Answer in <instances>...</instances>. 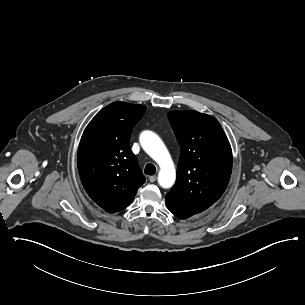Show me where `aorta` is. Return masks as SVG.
I'll return each instance as SVG.
<instances>
[{
    "instance_id": "aorta-1",
    "label": "aorta",
    "mask_w": 305,
    "mask_h": 305,
    "mask_svg": "<svg viewBox=\"0 0 305 305\" xmlns=\"http://www.w3.org/2000/svg\"><path fill=\"white\" fill-rule=\"evenodd\" d=\"M140 143L145 152L160 166L158 183L163 188H170L176 180V171L171 156L162 140L151 131L140 135Z\"/></svg>"
}]
</instances>
